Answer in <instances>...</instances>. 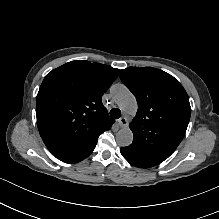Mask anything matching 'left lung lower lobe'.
Instances as JSON below:
<instances>
[{
    "label": "left lung lower lobe",
    "mask_w": 219,
    "mask_h": 219,
    "mask_svg": "<svg viewBox=\"0 0 219 219\" xmlns=\"http://www.w3.org/2000/svg\"><path fill=\"white\" fill-rule=\"evenodd\" d=\"M120 152L131 165L138 168H150L161 163V161L143 154L133 146L121 147Z\"/></svg>",
    "instance_id": "obj_1"
}]
</instances>
